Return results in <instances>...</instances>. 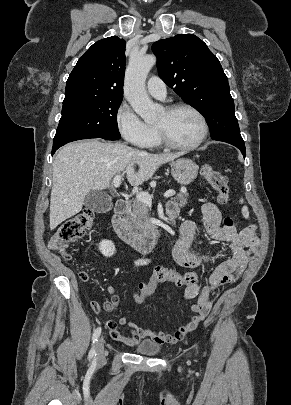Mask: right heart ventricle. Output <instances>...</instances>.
I'll return each mask as SVG.
<instances>
[{
    "mask_svg": "<svg viewBox=\"0 0 291 405\" xmlns=\"http://www.w3.org/2000/svg\"><path fill=\"white\" fill-rule=\"evenodd\" d=\"M159 145H160V141L158 139L157 133H155V136H154V138H153V140H152V142H151V144L149 146L156 147V146H159Z\"/></svg>",
    "mask_w": 291,
    "mask_h": 405,
    "instance_id": "e07e8e85",
    "label": "right heart ventricle"
}]
</instances>
